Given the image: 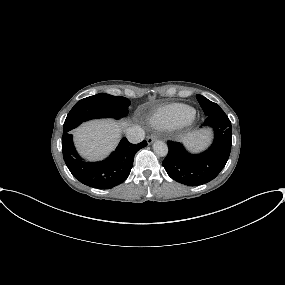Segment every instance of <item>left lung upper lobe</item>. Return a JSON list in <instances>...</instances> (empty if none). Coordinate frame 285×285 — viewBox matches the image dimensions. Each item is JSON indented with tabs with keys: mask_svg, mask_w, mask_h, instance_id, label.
<instances>
[{
	"mask_svg": "<svg viewBox=\"0 0 285 285\" xmlns=\"http://www.w3.org/2000/svg\"><path fill=\"white\" fill-rule=\"evenodd\" d=\"M196 98L200 103L205 115H210L217 112H224L216 103L208 100L202 95L197 94Z\"/></svg>",
	"mask_w": 285,
	"mask_h": 285,
	"instance_id": "left-lung-upper-lobe-1",
	"label": "left lung upper lobe"
}]
</instances>
